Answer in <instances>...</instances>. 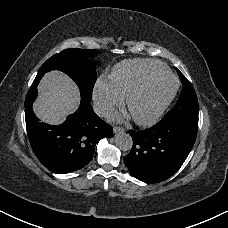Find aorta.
Segmentation results:
<instances>
[{
	"mask_svg": "<svg viewBox=\"0 0 228 228\" xmlns=\"http://www.w3.org/2000/svg\"><path fill=\"white\" fill-rule=\"evenodd\" d=\"M115 144L122 151H129L132 148V137L125 132L118 133L115 136Z\"/></svg>",
	"mask_w": 228,
	"mask_h": 228,
	"instance_id": "aorta-1",
	"label": "aorta"
}]
</instances>
